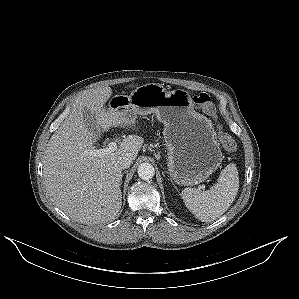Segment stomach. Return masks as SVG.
I'll use <instances>...</instances> for the list:
<instances>
[{
  "label": "stomach",
  "mask_w": 299,
  "mask_h": 299,
  "mask_svg": "<svg viewBox=\"0 0 299 299\" xmlns=\"http://www.w3.org/2000/svg\"><path fill=\"white\" fill-rule=\"evenodd\" d=\"M110 108L121 109L133 117L153 113L164 124L168 171L177 184H199L220 166L223 156L213 125L195 111L187 91L168 92L160 84H145L129 96H114Z\"/></svg>",
  "instance_id": "1"
}]
</instances>
